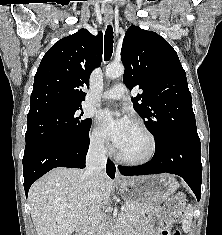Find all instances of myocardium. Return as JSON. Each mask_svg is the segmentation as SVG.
Here are the masks:
<instances>
[{
    "instance_id": "myocardium-1",
    "label": "myocardium",
    "mask_w": 222,
    "mask_h": 235,
    "mask_svg": "<svg viewBox=\"0 0 222 235\" xmlns=\"http://www.w3.org/2000/svg\"><path fill=\"white\" fill-rule=\"evenodd\" d=\"M133 125L141 129L149 137L151 141V150L149 154L146 157L141 158V159H130V158L124 157L123 155L120 154L119 151H117L116 157L119 161L128 165H134V166L143 165L153 160V158L156 156L157 151H158V141H157L155 134L152 132V130L143 122L135 121Z\"/></svg>"
}]
</instances>
